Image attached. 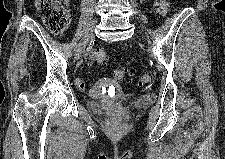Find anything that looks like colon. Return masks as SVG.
I'll list each match as a JSON object with an SVG mask.
<instances>
[{
    "label": "colon",
    "instance_id": "colon-1",
    "mask_svg": "<svg viewBox=\"0 0 225 159\" xmlns=\"http://www.w3.org/2000/svg\"><path fill=\"white\" fill-rule=\"evenodd\" d=\"M36 7L42 15L45 24L49 31L53 34H61L70 22L69 17V0H37ZM157 7L159 13L165 17L168 14V3L166 0H158ZM95 59L99 64H106L109 57L103 49H96ZM127 70L119 67L114 70V78L116 80H123L126 76ZM152 75L149 72H144L138 79V84L143 85L151 81Z\"/></svg>",
    "mask_w": 225,
    "mask_h": 159
}]
</instances>
